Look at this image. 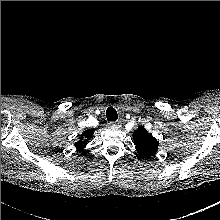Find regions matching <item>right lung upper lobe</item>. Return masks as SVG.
Returning a JSON list of instances; mask_svg holds the SVG:
<instances>
[{"label":"right lung upper lobe","mask_w":220,"mask_h":220,"mask_svg":"<svg viewBox=\"0 0 220 220\" xmlns=\"http://www.w3.org/2000/svg\"><path fill=\"white\" fill-rule=\"evenodd\" d=\"M93 133L94 130H86L81 134V140L75 143V146L78 151H84L83 149L86 147L87 141L90 140L91 137L93 136Z\"/></svg>","instance_id":"1"}]
</instances>
